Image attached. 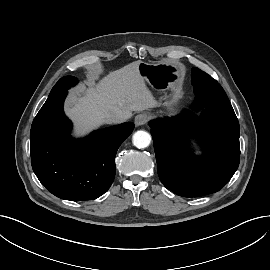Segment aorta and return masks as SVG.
<instances>
[{
    "instance_id": "1",
    "label": "aorta",
    "mask_w": 270,
    "mask_h": 270,
    "mask_svg": "<svg viewBox=\"0 0 270 270\" xmlns=\"http://www.w3.org/2000/svg\"><path fill=\"white\" fill-rule=\"evenodd\" d=\"M132 140H133L134 146L142 149V148H146L149 146V144L151 142V136L148 132L143 131V130H139V131L134 133Z\"/></svg>"
}]
</instances>
